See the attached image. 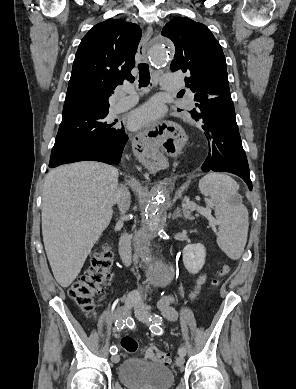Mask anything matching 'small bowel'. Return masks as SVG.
<instances>
[{
	"label": "small bowel",
	"mask_w": 296,
	"mask_h": 389,
	"mask_svg": "<svg viewBox=\"0 0 296 389\" xmlns=\"http://www.w3.org/2000/svg\"><path fill=\"white\" fill-rule=\"evenodd\" d=\"M205 281H206L205 274H202L197 278L195 285L189 294V298L191 300H194L197 297V295L199 294V291H200L202 285L205 283ZM174 300H175V298L173 296H167L159 302L160 309L164 312V314L167 316V318H169L172 321H175L177 319V314H176L175 310L172 308V303L174 302Z\"/></svg>",
	"instance_id": "small-bowel-1"
}]
</instances>
